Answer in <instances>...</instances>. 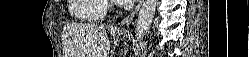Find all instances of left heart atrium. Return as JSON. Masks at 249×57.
Segmentation results:
<instances>
[{"label":"left heart atrium","mask_w":249,"mask_h":57,"mask_svg":"<svg viewBox=\"0 0 249 57\" xmlns=\"http://www.w3.org/2000/svg\"><path fill=\"white\" fill-rule=\"evenodd\" d=\"M116 2H117L118 4L123 5V4L132 3L133 1H132V0H116Z\"/></svg>","instance_id":"1"}]
</instances>
